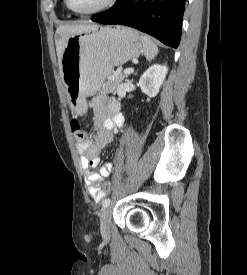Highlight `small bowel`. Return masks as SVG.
Returning a JSON list of instances; mask_svg holds the SVG:
<instances>
[{
    "mask_svg": "<svg viewBox=\"0 0 247 275\" xmlns=\"http://www.w3.org/2000/svg\"><path fill=\"white\" fill-rule=\"evenodd\" d=\"M94 126L98 130L94 141L78 143L80 163L84 170L85 182L89 194L95 201H101L106 195L100 187L104 178L113 170V163L107 162L97 172L92 171L99 166L100 152L114 140L118 129L125 127L124 116L120 112L119 103L113 98L98 96L92 100Z\"/></svg>",
    "mask_w": 247,
    "mask_h": 275,
    "instance_id": "small-bowel-1",
    "label": "small bowel"
}]
</instances>
